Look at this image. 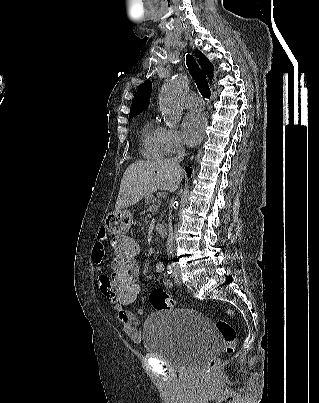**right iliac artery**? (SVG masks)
<instances>
[{"label": "right iliac artery", "instance_id": "obj_1", "mask_svg": "<svg viewBox=\"0 0 319 403\" xmlns=\"http://www.w3.org/2000/svg\"><path fill=\"white\" fill-rule=\"evenodd\" d=\"M173 272V266L172 265H168L167 266V273L171 274Z\"/></svg>", "mask_w": 319, "mask_h": 403}]
</instances>
